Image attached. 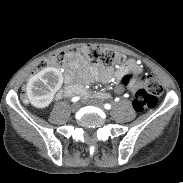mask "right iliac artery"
I'll list each match as a JSON object with an SVG mask.
<instances>
[{
  "label": "right iliac artery",
  "instance_id": "1",
  "mask_svg": "<svg viewBox=\"0 0 183 183\" xmlns=\"http://www.w3.org/2000/svg\"><path fill=\"white\" fill-rule=\"evenodd\" d=\"M79 100V97H73L72 98V102H76V101H78Z\"/></svg>",
  "mask_w": 183,
  "mask_h": 183
}]
</instances>
